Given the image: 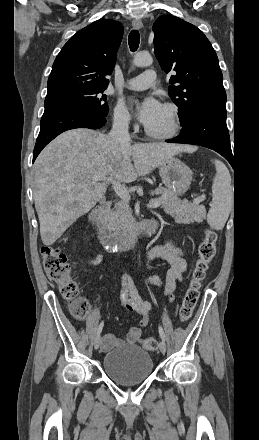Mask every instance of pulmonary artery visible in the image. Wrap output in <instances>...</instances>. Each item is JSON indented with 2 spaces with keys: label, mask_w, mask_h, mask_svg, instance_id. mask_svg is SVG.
Here are the masks:
<instances>
[{
  "label": "pulmonary artery",
  "mask_w": 259,
  "mask_h": 440,
  "mask_svg": "<svg viewBox=\"0 0 259 440\" xmlns=\"http://www.w3.org/2000/svg\"><path fill=\"white\" fill-rule=\"evenodd\" d=\"M156 82V72L152 69H147L142 74L128 79L125 82V87L131 90H144L155 85Z\"/></svg>",
  "instance_id": "e3ab8cb5"
}]
</instances>
